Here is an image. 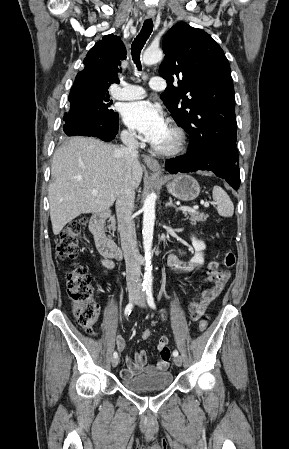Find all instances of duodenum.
Returning <instances> with one entry per match:
<instances>
[{
  "label": "duodenum",
  "instance_id": "1",
  "mask_svg": "<svg viewBox=\"0 0 289 449\" xmlns=\"http://www.w3.org/2000/svg\"><path fill=\"white\" fill-rule=\"evenodd\" d=\"M110 215L109 210H103L94 214L90 220L89 228L94 236L96 246L106 258H120V247L106 234L104 224Z\"/></svg>",
  "mask_w": 289,
  "mask_h": 449
}]
</instances>
